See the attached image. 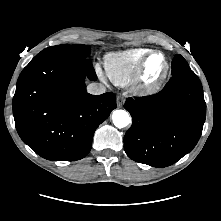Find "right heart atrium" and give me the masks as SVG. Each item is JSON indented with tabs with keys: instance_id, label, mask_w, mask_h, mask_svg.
I'll return each mask as SVG.
<instances>
[{
	"instance_id": "1",
	"label": "right heart atrium",
	"mask_w": 221,
	"mask_h": 221,
	"mask_svg": "<svg viewBox=\"0 0 221 221\" xmlns=\"http://www.w3.org/2000/svg\"><path fill=\"white\" fill-rule=\"evenodd\" d=\"M95 69H96V72L98 73V75L102 76L99 66H96Z\"/></svg>"
}]
</instances>
